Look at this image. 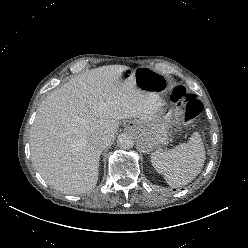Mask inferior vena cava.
<instances>
[{
	"mask_svg": "<svg viewBox=\"0 0 248 248\" xmlns=\"http://www.w3.org/2000/svg\"><path fill=\"white\" fill-rule=\"evenodd\" d=\"M110 141L111 136L109 134L103 133L94 139V144L98 145L101 148H105L109 145Z\"/></svg>",
	"mask_w": 248,
	"mask_h": 248,
	"instance_id": "inferior-vena-cava-1",
	"label": "inferior vena cava"
}]
</instances>
